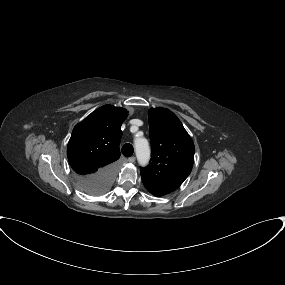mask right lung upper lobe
I'll return each instance as SVG.
<instances>
[{
	"label": "right lung upper lobe",
	"instance_id": "cb5924a9",
	"mask_svg": "<svg viewBox=\"0 0 285 285\" xmlns=\"http://www.w3.org/2000/svg\"><path fill=\"white\" fill-rule=\"evenodd\" d=\"M127 110L105 105L77 124L67 145V157L78 175H91L121 156V125Z\"/></svg>",
	"mask_w": 285,
	"mask_h": 285
}]
</instances>
